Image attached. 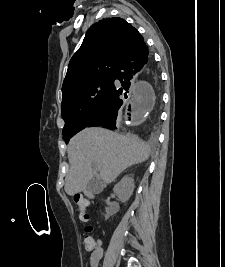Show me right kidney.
Segmentation results:
<instances>
[{
    "label": "right kidney",
    "instance_id": "right-kidney-1",
    "mask_svg": "<svg viewBox=\"0 0 225 267\" xmlns=\"http://www.w3.org/2000/svg\"><path fill=\"white\" fill-rule=\"evenodd\" d=\"M120 201L127 202L134 191V179L131 176L123 177L113 188Z\"/></svg>",
    "mask_w": 225,
    "mask_h": 267
}]
</instances>
